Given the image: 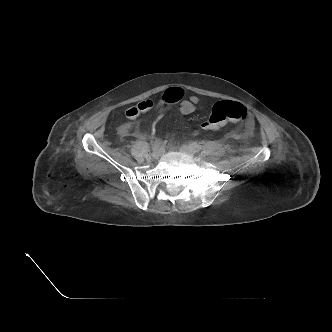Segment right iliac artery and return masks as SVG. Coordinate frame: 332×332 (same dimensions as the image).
Segmentation results:
<instances>
[{"label": "right iliac artery", "instance_id": "1", "mask_svg": "<svg viewBox=\"0 0 332 332\" xmlns=\"http://www.w3.org/2000/svg\"><path fill=\"white\" fill-rule=\"evenodd\" d=\"M163 145L162 140L160 139H156L153 143H152V149L156 150L158 148H160Z\"/></svg>", "mask_w": 332, "mask_h": 332}]
</instances>
